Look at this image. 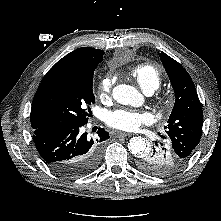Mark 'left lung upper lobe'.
I'll return each mask as SVG.
<instances>
[{"mask_svg": "<svg viewBox=\"0 0 221 221\" xmlns=\"http://www.w3.org/2000/svg\"><path fill=\"white\" fill-rule=\"evenodd\" d=\"M161 61L175 92V104L165 126L166 137L176 154L184 161L199 144L203 126L202 107L188 72L176 60L160 53Z\"/></svg>", "mask_w": 221, "mask_h": 221, "instance_id": "1", "label": "left lung upper lobe"}]
</instances>
